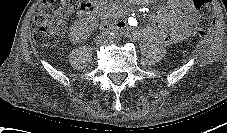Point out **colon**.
<instances>
[{
  "label": "colon",
  "mask_w": 227,
  "mask_h": 133,
  "mask_svg": "<svg viewBox=\"0 0 227 133\" xmlns=\"http://www.w3.org/2000/svg\"><path fill=\"white\" fill-rule=\"evenodd\" d=\"M199 14V36L206 37L214 25L213 0H193ZM94 8L88 0H43L33 20V36L37 44L55 45L65 31L70 14L88 12Z\"/></svg>",
  "instance_id": "5ec220e1"
}]
</instances>
